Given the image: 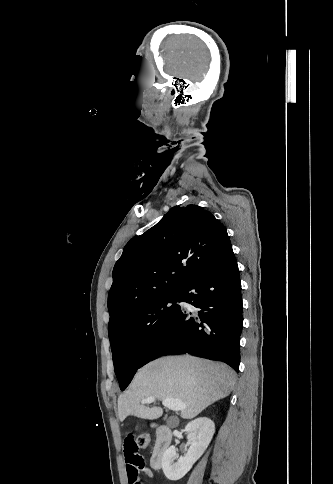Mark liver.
I'll return each mask as SVG.
<instances>
[{"label":"liver","mask_w":333,"mask_h":484,"mask_svg":"<svg viewBox=\"0 0 333 484\" xmlns=\"http://www.w3.org/2000/svg\"><path fill=\"white\" fill-rule=\"evenodd\" d=\"M235 381L234 371L222 363L188 355L159 358L139 369L128 390L118 397V416L121 422L129 415L148 420L161 417V407L141 404L143 399L155 397L159 401L180 399L187 406L180 416L192 419L227 397Z\"/></svg>","instance_id":"obj_1"}]
</instances>
